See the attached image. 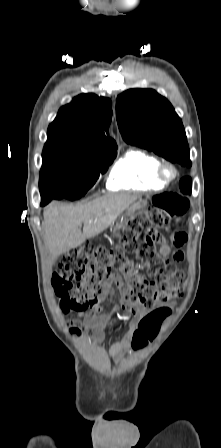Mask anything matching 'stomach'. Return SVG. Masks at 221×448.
I'll list each match as a JSON object with an SVG mask.
<instances>
[{
  "mask_svg": "<svg viewBox=\"0 0 221 448\" xmlns=\"http://www.w3.org/2000/svg\"><path fill=\"white\" fill-rule=\"evenodd\" d=\"M141 207L140 204L137 205H133L131 207H129L125 213V215H123L121 217V219L116 223L115 225V230H119L123 224L126 222L127 218H131L133 217V215L135 214V212Z\"/></svg>",
  "mask_w": 221,
  "mask_h": 448,
  "instance_id": "0dacf381",
  "label": "stomach"
}]
</instances>
